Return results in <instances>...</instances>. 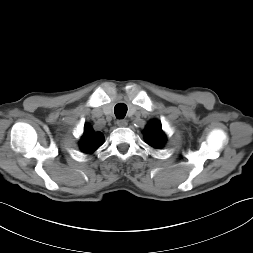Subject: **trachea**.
Returning a JSON list of instances; mask_svg holds the SVG:
<instances>
[{
    "instance_id": "1",
    "label": "trachea",
    "mask_w": 253,
    "mask_h": 253,
    "mask_svg": "<svg viewBox=\"0 0 253 253\" xmlns=\"http://www.w3.org/2000/svg\"><path fill=\"white\" fill-rule=\"evenodd\" d=\"M115 116L118 119H123L127 113V106L124 103H119L114 107Z\"/></svg>"
}]
</instances>
